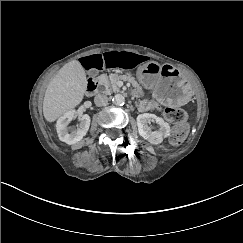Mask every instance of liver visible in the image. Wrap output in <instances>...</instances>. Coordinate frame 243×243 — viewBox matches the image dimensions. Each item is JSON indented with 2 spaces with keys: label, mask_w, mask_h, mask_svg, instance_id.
<instances>
[{
  "label": "liver",
  "mask_w": 243,
  "mask_h": 243,
  "mask_svg": "<svg viewBox=\"0 0 243 243\" xmlns=\"http://www.w3.org/2000/svg\"><path fill=\"white\" fill-rule=\"evenodd\" d=\"M88 80L78 60L66 63L52 78L43 98V116L49 123L76 108L83 100Z\"/></svg>",
  "instance_id": "6515ba94"
}]
</instances>
